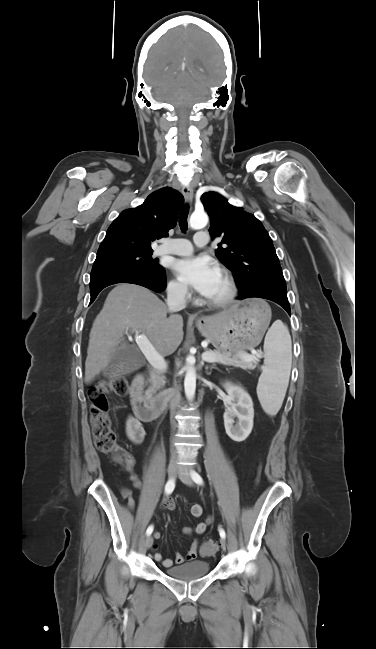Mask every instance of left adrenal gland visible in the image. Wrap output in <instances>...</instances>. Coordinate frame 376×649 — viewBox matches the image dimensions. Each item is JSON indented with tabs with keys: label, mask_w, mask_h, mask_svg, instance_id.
<instances>
[{
	"label": "left adrenal gland",
	"mask_w": 376,
	"mask_h": 649,
	"mask_svg": "<svg viewBox=\"0 0 376 649\" xmlns=\"http://www.w3.org/2000/svg\"><path fill=\"white\" fill-rule=\"evenodd\" d=\"M213 368H214L213 366H208V365L205 367L206 371L212 370Z\"/></svg>",
	"instance_id": "1"
}]
</instances>
